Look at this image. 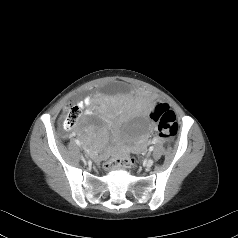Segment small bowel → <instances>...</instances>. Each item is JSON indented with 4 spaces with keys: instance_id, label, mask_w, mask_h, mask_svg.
<instances>
[{
    "instance_id": "obj_1",
    "label": "small bowel",
    "mask_w": 238,
    "mask_h": 238,
    "mask_svg": "<svg viewBox=\"0 0 238 238\" xmlns=\"http://www.w3.org/2000/svg\"><path fill=\"white\" fill-rule=\"evenodd\" d=\"M79 103L81 106H90L92 104V99L90 97H85ZM154 106H152V105L150 106V108H149L150 114H151Z\"/></svg>"
}]
</instances>
